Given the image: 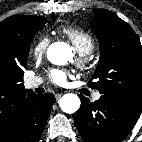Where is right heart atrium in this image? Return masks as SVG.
I'll use <instances>...</instances> for the list:
<instances>
[{"mask_svg": "<svg viewBox=\"0 0 142 142\" xmlns=\"http://www.w3.org/2000/svg\"><path fill=\"white\" fill-rule=\"evenodd\" d=\"M50 39L46 35L40 36L31 47V54L34 58L40 59L46 53Z\"/></svg>", "mask_w": 142, "mask_h": 142, "instance_id": "d8ad5b80", "label": "right heart atrium"}]
</instances>
